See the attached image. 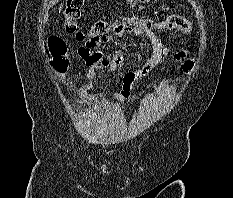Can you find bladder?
<instances>
[{
  "instance_id": "1",
  "label": "bladder",
  "mask_w": 233,
  "mask_h": 198,
  "mask_svg": "<svg viewBox=\"0 0 233 198\" xmlns=\"http://www.w3.org/2000/svg\"><path fill=\"white\" fill-rule=\"evenodd\" d=\"M111 124L112 117H109L107 114L89 113L82 121V129L87 136L100 138L108 131Z\"/></svg>"
}]
</instances>
